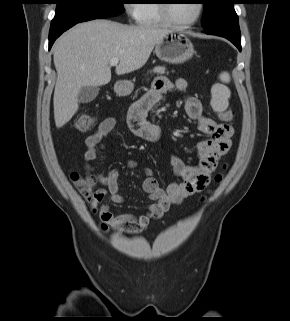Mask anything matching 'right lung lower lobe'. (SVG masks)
Listing matches in <instances>:
<instances>
[{
  "mask_svg": "<svg viewBox=\"0 0 290 321\" xmlns=\"http://www.w3.org/2000/svg\"><path fill=\"white\" fill-rule=\"evenodd\" d=\"M75 24H77V22L75 23H69V24H65V25H60V26H51L50 28V33H49V49L51 48V46L53 45L54 41L67 29L71 28L72 26H74Z\"/></svg>",
  "mask_w": 290,
  "mask_h": 321,
  "instance_id": "98d812e1",
  "label": "right lung lower lobe"
}]
</instances>
